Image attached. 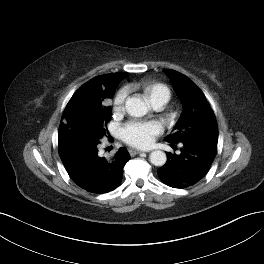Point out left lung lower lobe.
Instances as JSON below:
<instances>
[{
	"mask_svg": "<svg viewBox=\"0 0 264 264\" xmlns=\"http://www.w3.org/2000/svg\"><path fill=\"white\" fill-rule=\"evenodd\" d=\"M180 145V153H167L166 164L157 172L163 183L182 189L196 184L206 175L217 153V144L193 140ZM171 146L175 148L174 143Z\"/></svg>",
	"mask_w": 264,
	"mask_h": 264,
	"instance_id": "1",
	"label": "left lung lower lobe"
}]
</instances>
